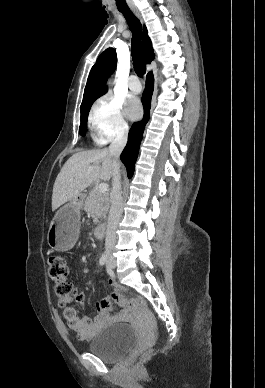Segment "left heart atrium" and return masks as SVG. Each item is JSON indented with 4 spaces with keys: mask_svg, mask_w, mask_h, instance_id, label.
Masks as SVG:
<instances>
[{
    "mask_svg": "<svg viewBox=\"0 0 265 388\" xmlns=\"http://www.w3.org/2000/svg\"><path fill=\"white\" fill-rule=\"evenodd\" d=\"M126 113L131 119H137L142 113V108L137 98H132L127 103Z\"/></svg>",
    "mask_w": 265,
    "mask_h": 388,
    "instance_id": "39dd6f15",
    "label": "left heart atrium"
}]
</instances>
